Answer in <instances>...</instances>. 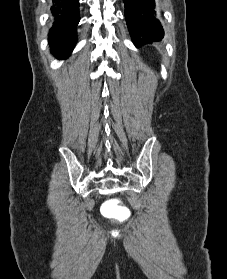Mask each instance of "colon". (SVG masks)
Instances as JSON below:
<instances>
[{
    "mask_svg": "<svg viewBox=\"0 0 227 279\" xmlns=\"http://www.w3.org/2000/svg\"><path fill=\"white\" fill-rule=\"evenodd\" d=\"M129 217V210L124 206H120L118 211L112 216L115 220L124 221Z\"/></svg>",
    "mask_w": 227,
    "mask_h": 279,
    "instance_id": "5ec220e1",
    "label": "colon"
}]
</instances>
